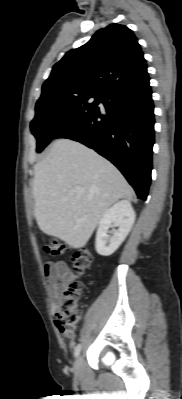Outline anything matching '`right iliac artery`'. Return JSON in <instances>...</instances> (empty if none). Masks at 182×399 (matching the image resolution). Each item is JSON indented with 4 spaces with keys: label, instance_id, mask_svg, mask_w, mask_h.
I'll return each instance as SVG.
<instances>
[{
    "label": "right iliac artery",
    "instance_id": "82829eb1",
    "mask_svg": "<svg viewBox=\"0 0 182 399\" xmlns=\"http://www.w3.org/2000/svg\"><path fill=\"white\" fill-rule=\"evenodd\" d=\"M80 351H81V345L78 344V345L75 347L74 356L77 357V356L79 355Z\"/></svg>",
    "mask_w": 182,
    "mask_h": 399
}]
</instances>
